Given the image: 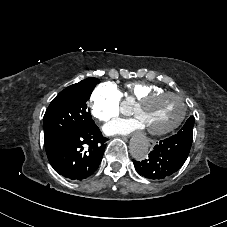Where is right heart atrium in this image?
Segmentation results:
<instances>
[{
    "mask_svg": "<svg viewBox=\"0 0 227 227\" xmlns=\"http://www.w3.org/2000/svg\"><path fill=\"white\" fill-rule=\"evenodd\" d=\"M92 114L101 122H111L120 113L121 94L111 82L99 84L91 94Z\"/></svg>",
    "mask_w": 227,
    "mask_h": 227,
    "instance_id": "d8ad5b80",
    "label": "right heart atrium"
}]
</instances>
